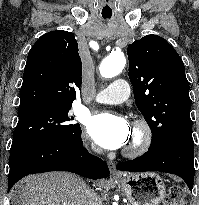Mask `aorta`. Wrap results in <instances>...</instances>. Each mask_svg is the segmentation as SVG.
Masks as SVG:
<instances>
[{
	"mask_svg": "<svg viewBox=\"0 0 199 205\" xmlns=\"http://www.w3.org/2000/svg\"><path fill=\"white\" fill-rule=\"evenodd\" d=\"M126 59L122 54H111L103 59L100 64V74L104 78H112L122 72Z\"/></svg>",
	"mask_w": 199,
	"mask_h": 205,
	"instance_id": "aorta-1",
	"label": "aorta"
}]
</instances>
